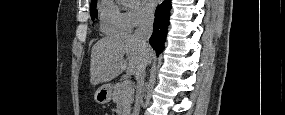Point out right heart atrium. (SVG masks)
Returning a JSON list of instances; mask_svg holds the SVG:
<instances>
[{
  "mask_svg": "<svg viewBox=\"0 0 285 115\" xmlns=\"http://www.w3.org/2000/svg\"><path fill=\"white\" fill-rule=\"evenodd\" d=\"M153 15L143 5L137 4L124 11L125 30L131 31L151 23Z\"/></svg>",
  "mask_w": 285,
  "mask_h": 115,
  "instance_id": "obj_1",
  "label": "right heart atrium"
}]
</instances>
